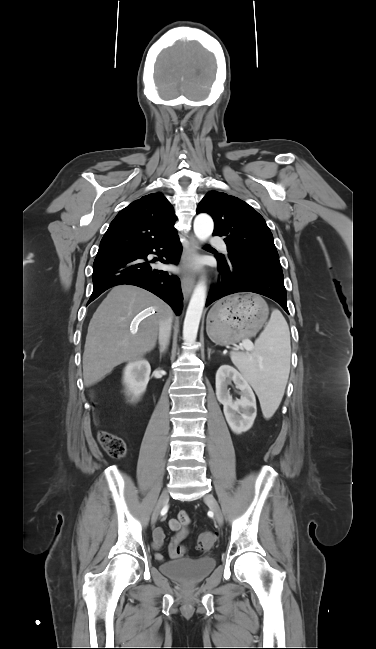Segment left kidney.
<instances>
[{"label":"left kidney","instance_id":"left-kidney-1","mask_svg":"<svg viewBox=\"0 0 376 649\" xmlns=\"http://www.w3.org/2000/svg\"><path fill=\"white\" fill-rule=\"evenodd\" d=\"M234 382L240 390L241 398L234 401L228 385ZM216 396L223 404V412L231 430L237 434L249 430L256 418V399L252 388L242 374L235 368L224 365L216 373Z\"/></svg>","mask_w":376,"mask_h":649}]
</instances>
